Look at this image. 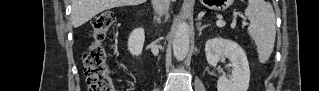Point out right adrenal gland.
I'll return each instance as SVG.
<instances>
[{
  "label": "right adrenal gland",
  "mask_w": 319,
  "mask_h": 91,
  "mask_svg": "<svg viewBox=\"0 0 319 91\" xmlns=\"http://www.w3.org/2000/svg\"><path fill=\"white\" fill-rule=\"evenodd\" d=\"M168 18V15L166 16V19ZM154 20L157 21L158 23H161V18L154 15Z\"/></svg>",
  "instance_id": "2a0ac1e0"
}]
</instances>
